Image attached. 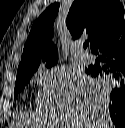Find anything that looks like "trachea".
<instances>
[{"instance_id": "trachea-1", "label": "trachea", "mask_w": 125, "mask_h": 128, "mask_svg": "<svg viewBox=\"0 0 125 128\" xmlns=\"http://www.w3.org/2000/svg\"><path fill=\"white\" fill-rule=\"evenodd\" d=\"M88 45H89V42H85L84 45H83V47H84V48H87Z\"/></svg>"}]
</instances>
